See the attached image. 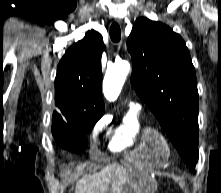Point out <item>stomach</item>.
Returning a JSON list of instances; mask_svg holds the SVG:
<instances>
[{"label": "stomach", "mask_w": 221, "mask_h": 193, "mask_svg": "<svg viewBox=\"0 0 221 193\" xmlns=\"http://www.w3.org/2000/svg\"><path fill=\"white\" fill-rule=\"evenodd\" d=\"M140 141L139 147H131L135 154H123V163L130 167V178L121 193H152L153 167H167L169 150H165V142H161L153 129H147Z\"/></svg>", "instance_id": "0dacf381"}]
</instances>
